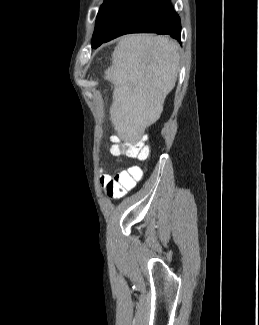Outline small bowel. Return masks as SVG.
Masks as SVG:
<instances>
[{"label":"small bowel","mask_w":259,"mask_h":325,"mask_svg":"<svg viewBox=\"0 0 259 325\" xmlns=\"http://www.w3.org/2000/svg\"><path fill=\"white\" fill-rule=\"evenodd\" d=\"M132 169H139L141 172H142V169L138 166H134V167H131ZM101 183L102 184H105L109 179H110V175L108 174H104L103 171L101 170Z\"/></svg>","instance_id":"c3829d8e"}]
</instances>
